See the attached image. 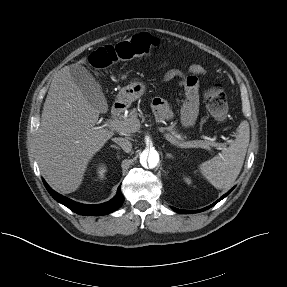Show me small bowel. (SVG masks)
Returning <instances> with one entry per match:
<instances>
[{
	"label": "small bowel",
	"instance_id": "c3829d8e",
	"mask_svg": "<svg viewBox=\"0 0 287 287\" xmlns=\"http://www.w3.org/2000/svg\"><path fill=\"white\" fill-rule=\"evenodd\" d=\"M205 73L201 65H192L189 69V75L185 76L179 69H168L162 81L167 82L174 78H180V86L186 91V101L181 112V123L184 127H191L198 116L199 96H198V76ZM152 108L157 118L160 120H168L173 117L166 101L162 97H155L152 101Z\"/></svg>",
	"mask_w": 287,
	"mask_h": 287
}]
</instances>
